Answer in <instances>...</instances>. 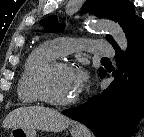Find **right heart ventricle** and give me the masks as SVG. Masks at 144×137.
Instances as JSON below:
<instances>
[{"label": "right heart ventricle", "mask_w": 144, "mask_h": 137, "mask_svg": "<svg viewBox=\"0 0 144 137\" xmlns=\"http://www.w3.org/2000/svg\"><path fill=\"white\" fill-rule=\"evenodd\" d=\"M57 57L51 43H44L33 49L27 56L17 83V96L24 104H37L41 100L35 93L32 80L35 71Z\"/></svg>", "instance_id": "e07e8e85"}]
</instances>
